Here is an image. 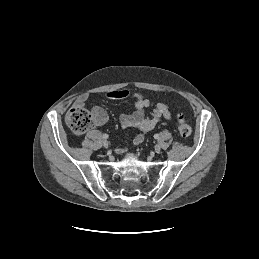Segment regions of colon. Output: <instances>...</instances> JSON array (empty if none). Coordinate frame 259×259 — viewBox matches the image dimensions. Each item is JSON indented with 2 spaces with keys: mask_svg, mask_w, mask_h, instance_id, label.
I'll use <instances>...</instances> for the list:
<instances>
[{
  "mask_svg": "<svg viewBox=\"0 0 259 259\" xmlns=\"http://www.w3.org/2000/svg\"><path fill=\"white\" fill-rule=\"evenodd\" d=\"M65 121L74 134L81 135L92 128L95 120L85 107L74 105L67 112ZM178 131L182 137H188L192 132L183 115L178 116Z\"/></svg>",
  "mask_w": 259,
  "mask_h": 259,
  "instance_id": "obj_1",
  "label": "colon"
}]
</instances>
